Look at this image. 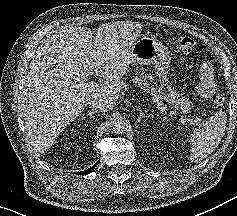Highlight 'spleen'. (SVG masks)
Listing matches in <instances>:
<instances>
[{
    "label": "spleen",
    "mask_w": 237,
    "mask_h": 216,
    "mask_svg": "<svg viewBox=\"0 0 237 216\" xmlns=\"http://www.w3.org/2000/svg\"><path fill=\"white\" fill-rule=\"evenodd\" d=\"M188 140L193 154H201L208 148L216 145V130L211 128L208 124H204L201 128L194 130L188 136Z\"/></svg>",
    "instance_id": "1"
}]
</instances>
